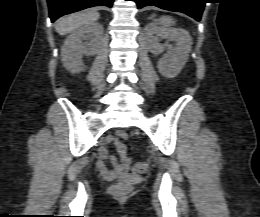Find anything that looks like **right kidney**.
<instances>
[{
  "label": "right kidney",
  "instance_id": "obj_1",
  "mask_svg": "<svg viewBox=\"0 0 260 217\" xmlns=\"http://www.w3.org/2000/svg\"><path fill=\"white\" fill-rule=\"evenodd\" d=\"M103 26L99 23H88L74 30L65 40L61 50L63 66L71 73L83 70V54L93 56L100 47Z\"/></svg>",
  "mask_w": 260,
  "mask_h": 217
}]
</instances>
